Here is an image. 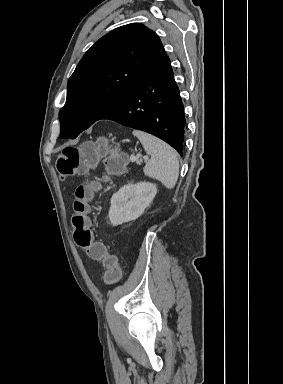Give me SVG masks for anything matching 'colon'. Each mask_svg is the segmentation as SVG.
<instances>
[{"label": "colon", "instance_id": "5ec220e1", "mask_svg": "<svg viewBox=\"0 0 283 384\" xmlns=\"http://www.w3.org/2000/svg\"><path fill=\"white\" fill-rule=\"evenodd\" d=\"M103 157L108 175H117L124 171L127 159L124 155L108 149L105 141H88L79 146H67L59 154L56 167L62 178L80 175L92 168ZM106 180V179H104ZM101 186L100 181L79 185L75 190L73 202L72 226L73 238L90 258L103 263L105 267L104 282L112 285L121 278L117 257L108 251L107 246L95 241L90 228V202Z\"/></svg>", "mask_w": 283, "mask_h": 384}]
</instances>
